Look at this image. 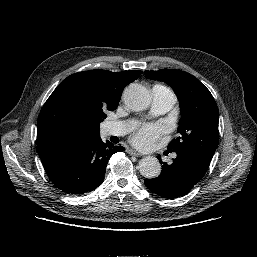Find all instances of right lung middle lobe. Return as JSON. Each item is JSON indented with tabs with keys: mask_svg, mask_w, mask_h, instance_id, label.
I'll return each instance as SVG.
<instances>
[{
	"mask_svg": "<svg viewBox=\"0 0 257 257\" xmlns=\"http://www.w3.org/2000/svg\"><path fill=\"white\" fill-rule=\"evenodd\" d=\"M107 110H98L96 112V120L98 123L102 122L106 117L107 115L105 114Z\"/></svg>",
	"mask_w": 257,
	"mask_h": 257,
	"instance_id": "obj_1",
	"label": "right lung middle lobe"
}]
</instances>
